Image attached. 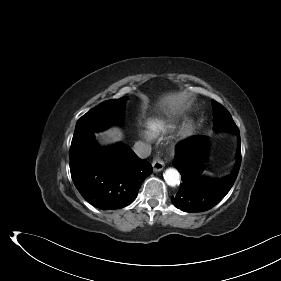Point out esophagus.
Masks as SVG:
<instances>
[{
    "label": "esophagus",
    "instance_id": "34e87169",
    "mask_svg": "<svg viewBox=\"0 0 281 281\" xmlns=\"http://www.w3.org/2000/svg\"><path fill=\"white\" fill-rule=\"evenodd\" d=\"M165 166V163L163 160H161L159 157H156L152 162V167L154 172L161 171Z\"/></svg>",
    "mask_w": 281,
    "mask_h": 281
}]
</instances>
